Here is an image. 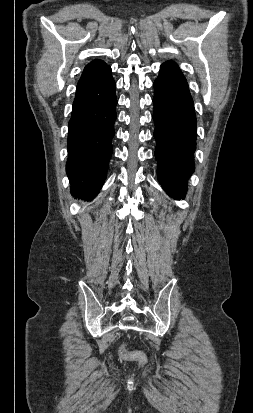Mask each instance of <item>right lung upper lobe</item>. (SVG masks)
Here are the masks:
<instances>
[{
    "label": "right lung upper lobe",
    "instance_id": "cb5924a9",
    "mask_svg": "<svg viewBox=\"0 0 253 413\" xmlns=\"http://www.w3.org/2000/svg\"><path fill=\"white\" fill-rule=\"evenodd\" d=\"M109 66L102 60H93L84 69L82 76L77 84V89L85 87L92 83L102 72Z\"/></svg>",
    "mask_w": 253,
    "mask_h": 413
}]
</instances>
